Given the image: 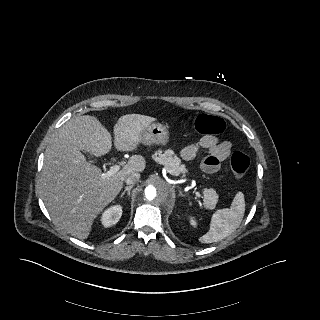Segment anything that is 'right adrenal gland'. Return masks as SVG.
Returning <instances> with one entry per match:
<instances>
[{
  "mask_svg": "<svg viewBox=\"0 0 320 320\" xmlns=\"http://www.w3.org/2000/svg\"><path fill=\"white\" fill-rule=\"evenodd\" d=\"M134 187V185L126 186L125 190L121 193L120 198L124 196V194L127 192L128 196H130V190Z\"/></svg>",
  "mask_w": 320,
  "mask_h": 320,
  "instance_id": "2a0ac1e0",
  "label": "right adrenal gland"
}]
</instances>
